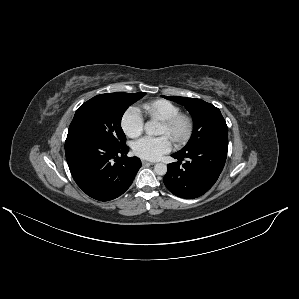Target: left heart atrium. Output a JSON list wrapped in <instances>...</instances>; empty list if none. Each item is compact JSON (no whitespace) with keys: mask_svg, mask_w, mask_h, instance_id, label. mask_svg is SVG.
Instances as JSON below:
<instances>
[{"mask_svg":"<svg viewBox=\"0 0 299 299\" xmlns=\"http://www.w3.org/2000/svg\"><path fill=\"white\" fill-rule=\"evenodd\" d=\"M172 148L168 136L161 137H142L133 144L134 153L148 160H157L162 155L168 153Z\"/></svg>","mask_w":299,"mask_h":299,"instance_id":"39dd6f15","label":"left heart atrium"}]
</instances>
